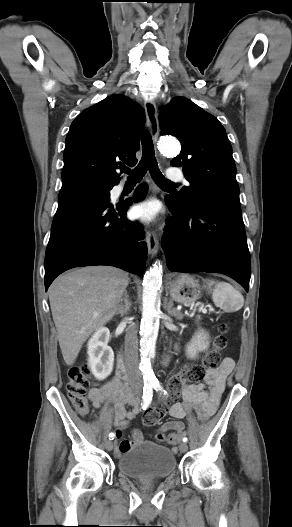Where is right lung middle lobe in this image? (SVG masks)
<instances>
[{
  "instance_id": "1",
  "label": "right lung middle lobe",
  "mask_w": 292,
  "mask_h": 527,
  "mask_svg": "<svg viewBox=\"0 0 292 527\" xmlns=\"http://www.w3.org/2000/svg\"><path fill=\"white\" fill-rule=\"evenodd\" d=\"M114 185L102 184L94 180L78 178L62 182L60 192L64 191H86L110 197V190Z\"/></svg>"
}]
</instances>
